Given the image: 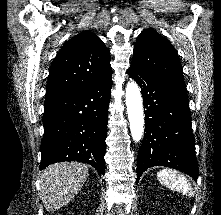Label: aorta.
Segmentation results:
<instances>
[{
  "label": "aorta",
  "mask_w": 221,
  "mask_h": 215,
  "mask_svg": "<svg viewBox=\"0 0 221 215\" xmlns=\"http://www.w3.org/2000/svg\"><path fill=\"white\" fill-rule=\"evenodd\" d=\"M126 106L131 136L135 142H139L144 132V111L140 89L135 81L127 84Z\"/></svg>",
  "instance_id": "1"
}]
</instances>
